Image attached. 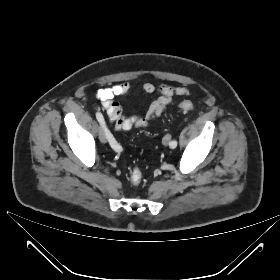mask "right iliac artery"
<instances>
[{
    "label": "right iliac artery",
    "instance_id": "right-iliac-artery-1",
    "mask_svg": "<svg viewBox=\"0 0 280 280\" xmlns=\"http://www.w3.org/2000/svg\"><path fill=\"white\" fill-rule=\"evenodd\" d=\"M96 118L98 120V122L100 123L101 126H103L106 129L107 132V138L108 141L111 145V147L116 150V151H121L122 147L118 144V142L115 140V138L113 137V135L109 132V130L106 128L105 126V121L103 118V115L100 112L96 113Z\"/></svg>",
    "mask_w": 280,
    "mask_h": 280
}]
</instances>
